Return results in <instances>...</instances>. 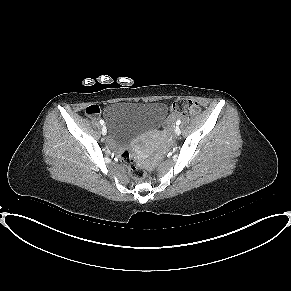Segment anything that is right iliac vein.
<instances>
[{
    "instance_id": "right-iliac-vein-1",
    "label": "right iliac vein",
    "mask_w": 291,
    "mask_h": 291,
    "mask_svg": "<svg viewBox=\"0 0 291 291\" xmlns=\"http://www.w3.org/2000/svg\"><path fill=\"white\" fill-rule=\"evenodd\" d=\"M106 133H107V129H106L105 126H103V127H102V134H103V135H106Z\"/></svg>"
}]
</instances>
